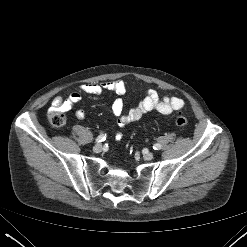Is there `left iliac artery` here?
I'll return each mask as SVG.
<instances>
[{
	"mask_svg": "<svg viewBox=\"0 0 247 247\" xmlns=\"http://www.w3.org/2000/svg\"><path fill=\"white\" fill-rule=\"evenodd\" d=\"M153 149L160 150L161 149V145L160 144H154L153 145Z\"/></svg>",
	"mask_w": 247,
	"mask_h": 247,
	"instance_id": "1",
	"label": "left iliac artery"
}]
</instances>
